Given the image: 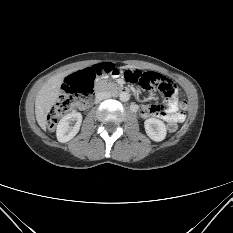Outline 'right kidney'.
Masks as SVG:
<instances>
[{
    "label": "right kidney",
    "instance_id": "right-kidney-1",
    "mask_svg": "<svg viewBox=\"0 0 233 233\" xmlns=\"http://www.w3.org/2000/svg\"><path fill=\"white\" fill-rule=\"evenodd\" d=\"M81 122L82 115L79 112H72L65 115L57 125V140L62 143L70 141L78 133Z\"/></svg>",
    "mask_w": 233,
    "mask_h": 233
}]
</instances>
